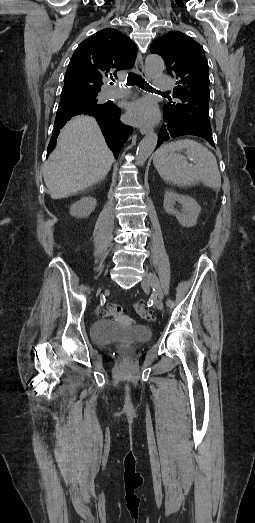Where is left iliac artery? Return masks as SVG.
Here are the masks:
<instances>
[{"mask_svg":"<svg viewBox=\"0 0 255 523\" xmlns=\"http://www.w3.org/2000/svg\"><path fill=\"white\" fill-rule=\"evenodd\" d=\"M150 284H151L153 290H154V291L156 292V294L158 295V297H159L160 299H162V298H163V292H162L161 288H159L157 285L153 284L151 280H150Z\"/></svg>","mask_w":255,"mask_h":523,"instance_id":"1","label":"left iliac artery"}]
</instances>
